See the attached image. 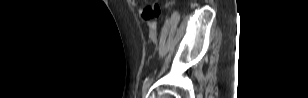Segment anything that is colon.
I'll use <instances>...</instances> for the list:
<instances>
[{
	"label": "colon",
	"instance_id": "obj_1",
	"mask_svg": "<svg viewBox=\"0 0 308 98\" xmlns=\"http://www.w3.org/2000/svg\"><path fill=\"white\" fill-rule=\"evenodd\" d=\"M142 13H144V15L150 19H153L159 15L160 7L158 5H153L151 7L145 8ZM151 28L153 29L154 27L152 26ZM149 39L153 44L156 43V34L154 30L149 32Z\"/></svg>",
	"mask_w": 308,
	"mask_h": 98
}]
</instances>
